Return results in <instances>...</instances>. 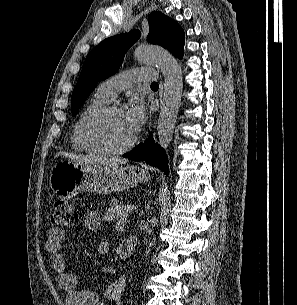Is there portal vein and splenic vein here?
<instances>
[{
    "label": "portal vein and splenic vein",
    "mask_w": 297,
    "mask_h": 305,
    "mask_svg": "<svg viewBox=\"0 0 297 305\" xmlns=\"http://www.w3.org/2000/svg\"><path fill=\"white\" fill-rule=\"evenodd\" d=\"M134 210V206H128L127 212L130 213Z\"/></svg>",
    "instance_id": "1"
}]
</instances>
